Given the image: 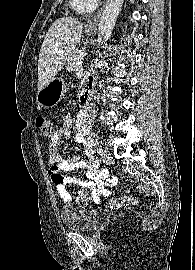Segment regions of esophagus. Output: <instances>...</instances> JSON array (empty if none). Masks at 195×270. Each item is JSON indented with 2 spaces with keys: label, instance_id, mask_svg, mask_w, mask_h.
<instances>
[{
  "label": "esophagus",
  "instance_id": "obj_1",
  "mask_svg": "<svg viewBox=\"0 0 195 270\" xmlns=\"http://www.w3.org/2000/svg\"><path fill=\"white\" fill-rule=\"evenodd\" d=\"M103 8H104V6L102 8H100L98 10V12L90 20H88V22L86 23V28L96 29L98 22H99V19L101 17Z\"/></svg>",
  "mask_w": 195,
  "mask_h": 270
}]
</instances>
